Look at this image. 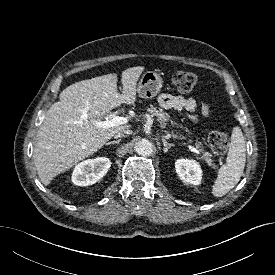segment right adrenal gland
Instances as JSON below:
<instances>
[{
    "instance_id": "right-adrenal-gland-1",
    "label": "right adrenal gland",
    "mask_w": 275,
    "mask_h": 275,
    "mask_svg": "<svg viewBox=\"0 0 275 275\" xmlns=\"http://www.w3.org/2000/svg\"><path fill=\"white\" fill-rule=\"evenodd\" d=\"M121 141V138L117 139V140H114V141H110V142H107L106 145H110V144H119Z\"/></svg>"
}]
</instances>
